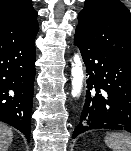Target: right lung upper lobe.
Returning <instances> with one entry per match:
<instances>
[{
    "label": "right lung upper lobe",
    "instance_id": "cb5924a9",
    "mask_svg": "<svg viewBox=\"0 0 131 151\" xmlns=\"http://www.w3.org/2000/svg\"><path fill=\"white\" fill-rule=\"evenodd\" d=\"M31 0H0V41L26 38L38 32Z\"/></svg>",
    "mask_w": 131,
    "mask_h": 151
}]
</instances>
